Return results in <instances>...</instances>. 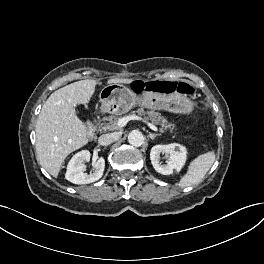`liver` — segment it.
I'll return each mask as SVG.
<instances>
[{"label":"liver","instance_id":"6515ba94","mask_svg":"<svg viewBox=\"0 0 264 264\" xmlns=\"http://www.w3.org/2000/svg\"><path fill=\"white\" fill-rule=\"evenodd\" d=\"M132 79L113 78L107 84H130ZM96 80H81L53 92L42 106L36 123V154L39 163L58 177L65 158L88 143L87 129L75 107L89 103Z\"/></svg>","mask_w":264,"mask_h":264}]
</instances>
